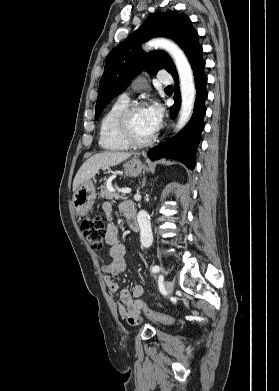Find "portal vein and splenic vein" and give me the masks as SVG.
Wrapping results in <instances>:
<instances>
[{
	"instance_id": "18ae733b",
	"label": "portal vein and splenic vein",
	"mask_w": 279,
	"mask_h": 391,
	"mask_svg": "<svg viewBox=\"0 0 279 391\" xmlns=\"http://www.w3.org/2000/svg\"><path fill=\"white\" fill-rule=\"evenodd\" d=\"M118 191L121 192L124 195L131 193V189L130 188H122V189H118Z\"/></svg>"
}]
</instances>
